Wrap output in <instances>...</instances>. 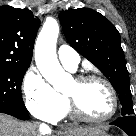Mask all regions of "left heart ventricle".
<instances>
[{
    "label": "left heart ventricle",
    "instance_id": "left-heart-ventricle-1",
    "mask_svg": "<svg viewBox=\"0 0 136 136\" xmlns=\"http://www.w3.org/2000/svg\"><path fill=\"white\" fill-rule=\"evenodd\" d=\"M65 93L74 97L80 109L89 117H104L112 109L111 95L101 82L92 81L78 85L73 81Z\"/></svg>",
    "mask_w": 136,
    "mask_h": 136
}]
</instances>
